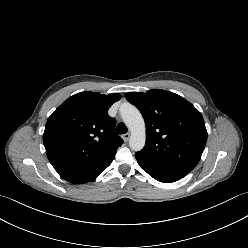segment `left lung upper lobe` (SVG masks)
Instances as JSON below:
<instances>
[{
	"mask_svg": "<svg viewBox=\"0 0 248 248\" xmlns=\"http://www.w3.org/2000/svg\"><path fill=\"white\" fill-rule=\"evenodd\" d=\"M125 97L140 110L146 124V144L135 157L156 166L191 172L207 141L201 113L181 96L165 90L129 92Z\"/></svg>",
	"mask_w": 248,
	"mask_h": 248,
	"instance_id": "1",
	"label": "left lung upper lobe"
}]
</instances>
